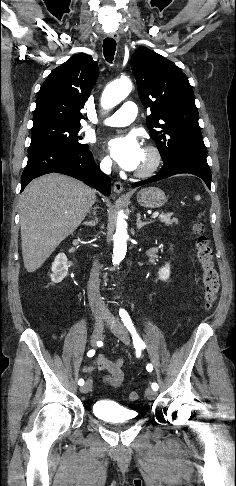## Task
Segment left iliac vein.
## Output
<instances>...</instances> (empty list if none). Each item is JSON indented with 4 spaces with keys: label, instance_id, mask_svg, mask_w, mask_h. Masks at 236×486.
Wrapping results in <instances>:
<instances>
[{
    "label": "left iliac vein",
    "instance_id": "1",
    "mask_svg": "<svg viewBox=\"0 0 236 486\" xmlns=\"http://www.w3.org/2000/svg\"><path fill=\"white\" fill-rule=\"evenodd\" d=\"M110 329L124 344H129V334L125 326L118 319H111ZM145 394L149 400H153L157 395L156 391L151 388H147Z\"/></svg>",
    "mask_w": 236,
    "mask_h": 486
}]
</instances>
